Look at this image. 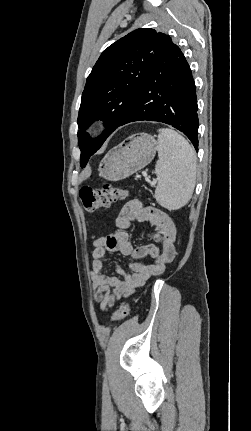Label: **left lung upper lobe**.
<instances>
[{
  "mask_svg": "<svg viewBox=\"0 0 251 431\" xmlns=\"http://www.w3.org/2000/svg\"><path fill=\"white\" fill-rule=\"evenodd\" d=\"M168 38L150 28L137 29L110 45L99 57L87 78L77 120L82 168L125 119ZM98 119L105 121L106 129L90 140L85 130Z\"/></svg>",
  "mask_w": 251,
  "mask_h": 431,
  "instance_id": "obj_1",
  "label": "left lung upper lobe"
}]
</instances>
